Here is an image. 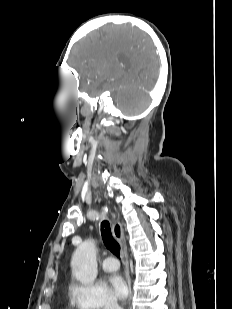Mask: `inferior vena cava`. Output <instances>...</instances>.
I'll use <instances>...</instances> for the list:
<instances>
[{"label": "inferior vena cava", "mask_w": 232, "mask_h": 309, "mask_svg": "<svg viewBox=\"0 0 232 309\" xmlns=\"http://www.w3.org/2000/svg\"><path fill=\"white\" fill-rule=\"evenodd\" d=\"M104 309H121L114 300H108Z\"/></svg>", "instance_id": "1"}]
</instances>
